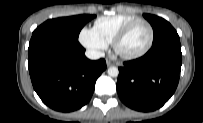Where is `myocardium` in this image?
<instances>
[{"label": "myocardium", "mask_w": 203, "mask_h": 123, "mask_svg": "<svg viewBox=\"0 0 203 123\" xmlns=\"http://www.w3.org/2000/svg\"><path fill=\"white\" fill-rule=\"evenodd\" d=\"M138 24H145L149 29L150 35H149V40H148L146 46L142 50H140L139 52H136V53H124V52H122L120 50L121 42L129 34V32ZM154 36H155L154 28L149 21L144 20V19L135 20V21L129 23L128 25H126L115 36V38L112 42L113 50L117 56H119L120 58H122L124 60H134V59L140 58V57L144 56L151 49L153 42H154Z\"/></svg>", "instance_id": "myocardium-1"}]
</instances>
